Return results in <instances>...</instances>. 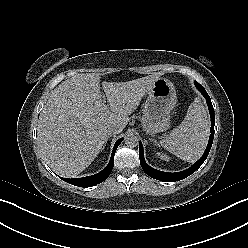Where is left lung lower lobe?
<instances>
[{"label": "left lung lower lobe", "instance_id": "1", "mask_svg": "<svg viewBox=\"0 0 248 248\" xmlns=\"http://www.w3.org/2000/svg\"><path fill=\"white\" fill-rule=\"evenodd\" d=\"M194 83H195V86L197 87V89L206 98V102H207L208 109L210 112V117H211V129H210L211 134H210L207 148H206L203 156L196 163H194L190 168H188L184 171H181V172H177V173H168V172H162V171L153 169L145 162L144 154H143V146H142V143L139 142L140 165L142 166V169L144 170V172L148 176H150L154 179L164 181V182H175V181L182 180V179L190 176L192 173H194L203 164V162L206 160V158L209 154V151H210L212 143H213V138H214V125H215L214 108H213V105L211 103V99H210L209 95L207 94L206 90L204 89V87L196 81Z\"/></svg>", "mask_w": 248, "mask_h": 248}]
</instances>
